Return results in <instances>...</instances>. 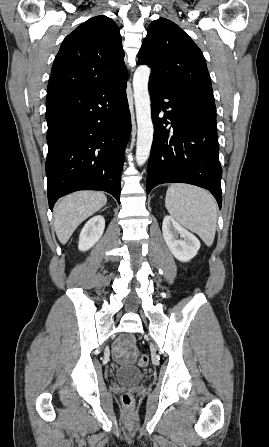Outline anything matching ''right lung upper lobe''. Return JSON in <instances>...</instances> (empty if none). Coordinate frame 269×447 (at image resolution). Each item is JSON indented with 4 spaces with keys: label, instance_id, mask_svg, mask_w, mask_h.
Returning a JSON list of instances; mask_svg holds the SVG:
<instances>
[{
    "label": "right lung upper lobe",
    "instance_id": "right-lung-upper-lobe-1",
    "mask_svg": "<svg viewBox=\"0 0 269 447\" xmlns=\"http://www.w3.org/2000/svg\"><path fill=\"white\" fill-rule=\"evenodd\" d=\"M51 73L47 93L97 87L127 75L116 23L101 15L77 27L63 40Z\"/></svg>",
    "mask_w": 269,
    "mask_h": 447
}]
</instances>
